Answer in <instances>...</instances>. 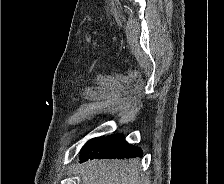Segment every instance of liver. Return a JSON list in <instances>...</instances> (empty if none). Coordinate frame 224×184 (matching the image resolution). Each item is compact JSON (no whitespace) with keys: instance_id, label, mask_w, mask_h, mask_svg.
Masks as SVG:
<instances>
[{"instance_id":"1","label":"liver","mask_w":224,"mask_h":184,"mask_svg":"<svg viewBox=\"0 0 224 184\" xmlns=\"http://www.w3.org/2000/svg\"><path fill=\"white\" fill-rule=\"evenodd\" d=\"M82 184H139L134 160H88L79 166Z\"/></svg>"}]
</instances>
